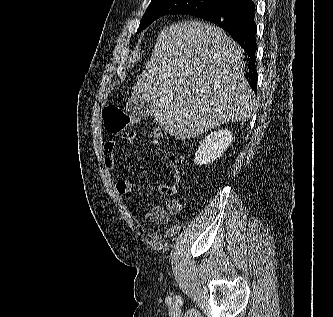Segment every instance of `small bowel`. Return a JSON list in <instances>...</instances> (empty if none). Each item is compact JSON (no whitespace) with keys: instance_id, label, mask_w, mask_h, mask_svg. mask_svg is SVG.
<instances>
[{"instance_id":"small-bowel-1","label":"small bowel","mask_w":333,"mask_h":317,"mask_svg":"<svg viewBox=\"0 0 333 317\" xmlns=\"http://www.w3.org/2000/svg\"><path fill=\"white\" fill-rule=\"evenodd\" d=\"M122 140H125L131 144H135L138 141V136L135 132H127L122 134ZM117 141L109 140L104 144L103 160L106 168H114V152L116 149ZM174 180L173 185L161 184L159 189L162 195L170 197L164 206H154L146 213V221L153 225H162L166 223L170 215H176L181 210L180 201L173 197L177 192V186L180 181V172L176 166H174ZM116 190L120 196H128L133 190L131 181L124 177L120 179L116 184ZM152 236H158V232L153 231L150 233Z\"/></svg>"}]
</instances>
